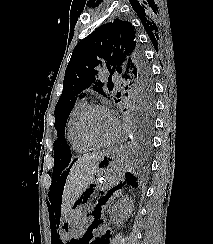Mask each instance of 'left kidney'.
<instances>
[{
	"instance_id": "obj_1",
	"label": "left kidney",
	"mask_w": 213,
	"mask_h": 244,
	"mask_svg": "<svg viewBox=\"0 0 213 244\" xmlns=\"http://www.w3.org/2000/svg\"><path fill=\"white\" fill-rule=\"evenodd\" d=\"M132 205L131 201L128 202L126 198H122L116 203L112 209V218L114 221H120V219L127 218L128 213H131Z\"/></svg>"
}]
</instances>
